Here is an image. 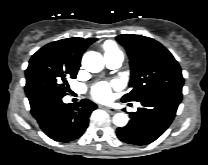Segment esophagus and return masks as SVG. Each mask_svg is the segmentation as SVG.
Here are the masks:
<instances>
[{
	"instance_id": "esophagus-1",
	"label": "esophagus",
	"mask_w": 208,
	"mask_h": 165,
	"mask_svg": "<svg viewBox=\"0 0 208 165\" xmlns=\"http://www.w3.org/2000/svg\"><path fill=\"white\" fill-rule=\"evenodd\" d=\"M101 108H103L104 110H106V111L109 112V113H112V114L116 113V111L113 110V109L110 108V107H107V106H101Z\"/></svg>"
}]
</instances>
